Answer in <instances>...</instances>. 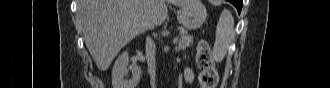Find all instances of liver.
<instances>
[{
  "label": "liver",
  "instance_id": "liver-1",
  "mask_svg": "<svg viewBox=\"0 0 330 88\" xmlns=\"http://www.w3.org/2000/svg\"><path fill=\"white\" fill-rule=\"evenodd\" d=\"M166 2L183 7L190 0H79L78 18L97 67L107 70L127 43L161 25L168 14Z\"/></svg>",
  "mask_w": 330,
  "mask_h": 88
}]
</instances>
